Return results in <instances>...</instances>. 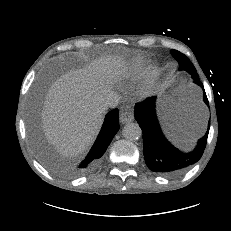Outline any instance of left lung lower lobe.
Listing matches in <instances>:
<instances>
[{
  "label": "left lung lower lobe",
  "instance_id": "1",
  "mask_svg": "<svg viewBox=\"0 0 231 231\" xmlns=\"http://www.w3.org/2000/svg\"><path fill=\"white\" fill-rule=\"evenodd\" d=\"M204 91V102L209 105L208 99L199 79H194ZM155 100L156 97H151L143 103L135 105V119L143 133V154L148 168L160 175L175 176L185 172L193 164H195L202 156L210 128V121L208 123V130L206 134L199 139L196 147L190 152H183L174 147L166 140L155 114Z\"/></svg>",
  "mask_w": 231,
  "mask_h": 231
}]
</instances>
